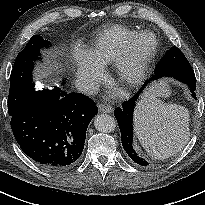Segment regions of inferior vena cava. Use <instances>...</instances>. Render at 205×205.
Masks as SVG:
<instances>
[{"instance_id":"obj_1","label":"inferior vena cava","mask_w":205,"mask_h":205,"mask_svg":"<svg viewBox=\"0 0 205 205\" xmlns=\"http://www.w3.org/2000/svg\"><path fill=\"white\" fill-rule=\"evenodd\" d=\"M76 89L84 94L94 95L99 90V85L95 81L89 79H79L75 82Z\"/></svg>"}]
</instances>
